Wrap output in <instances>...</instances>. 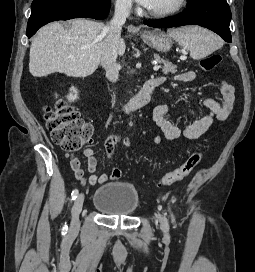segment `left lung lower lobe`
<instances>
[{"label": "left lung lower lobe", "mask_w": 255, "mask_h": 272, "mask_svg": "<svg viewBox=\"0 0 255 272\" xmlns=\"http://www.w3.org/2000/svg\"><path fill=\"white\" fill-rule=\"evenodd\" d=\"M230 20L231 11L226 0H189L183 13L161 20L144 21V23L157 28L199 25L216 32L226 42H231Z\"/></svg>", "instance_id": "left-lung-lower-lobe-1"}]
</instances>
